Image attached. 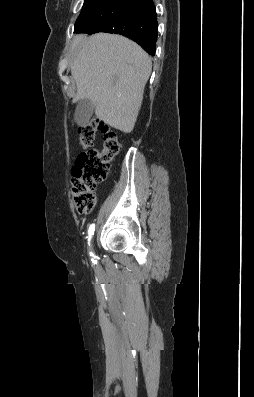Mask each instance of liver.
<instances>
[{"label":"liver","instance_id":"obj_1","mask_svg":"<svg viewBox=\"0 0 254 397\" xmlns=\"http://www.w3.org/2000/svg\"><path fill=\"white\" fill-rule=\"evenodd\" d=\"M73 102L89 99L97 118L124 133L135 126L152 70L148 54L115 34L76 35L71 44Z\"/></svg>","mask_w":254,"mask_h":397}]
</instances>
